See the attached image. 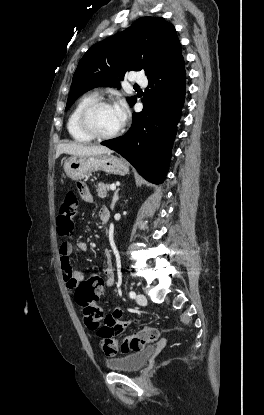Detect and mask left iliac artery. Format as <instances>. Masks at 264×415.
<instances>
[{"mask_svg":"<svg viewBox=\"0 0 264 415\" xmlns=\"http://www.w3.org/2000/svg\"><path fill=\"white\" fill-rule=\"evenodd\" d=\"M130 298L134 299L136 297V293L134 291L129 292Z\"/></svg>","mask_w":264,"mask_h":415,"instance_id":"left-iliac-artery-1","label":"left iliac artery"}]
</instances>
